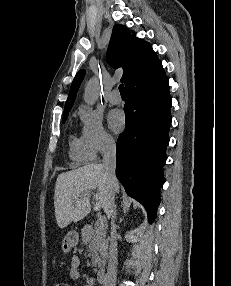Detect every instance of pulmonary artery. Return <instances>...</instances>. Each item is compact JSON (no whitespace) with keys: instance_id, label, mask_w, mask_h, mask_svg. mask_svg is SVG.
I'll return each mask as SVG.
<instances>
[{"instance_id":"obj_1","label":"pulmonary artery","mask_w":231,"mask_h":286,"mask_svg":"<svg viewBox=\"0 0 231 286\" xmlns=\"http://www.w3.org/2000/svg\"><path fill=\"white\" fill-rule=\"evenodd\" d=\"M108 101L113 105L121 103V96L117 89H114L110 92V94L108 95Z\"/></svg>"}]
</instances>
